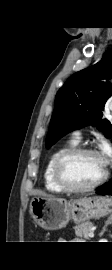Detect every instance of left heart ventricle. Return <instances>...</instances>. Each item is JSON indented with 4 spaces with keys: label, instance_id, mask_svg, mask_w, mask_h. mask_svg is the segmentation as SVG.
<instances>
[{
    "label": "left heart ventricle",
    "instance_id": "b2bd125f",
    "mask_svg": "<svg viewBox=\"0 0 112 270\" xmlns=\"http://www.w3.org/2000/svg\"><path fill=\"white\" fill-rule=\"evenodd\" d=\"M99 154H84L70 159L65 165L68 180L78 186H86L97 181L104 172Z\"/></svg>",
    "mask_w": 112,
    "mask_h": 270
}]
</instances>
